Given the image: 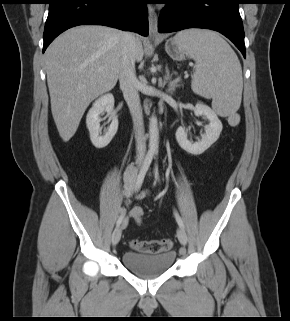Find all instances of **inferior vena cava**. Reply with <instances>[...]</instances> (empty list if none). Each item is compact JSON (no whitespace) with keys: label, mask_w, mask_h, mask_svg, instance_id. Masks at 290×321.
Returning a JSON list of instances; mask_svg holds the SVG:
<instances>
[{"label":"inferior vena cava","mask_w":290,"mask_h":321,"mask_svg":"<svg viewBox=\"0 0 290 321\" xmlns=\"http://www.w3.org/2000/svg\"><path fill=\"white\" fill-rule=\"evenodd\" d=\"M122 60L119 75L120 88L129 107L135 128L137 156L143 158L146 152L142 107L138 93L139 81L135 71L136 38L125 32L121 38Z\"/></svg>","instance_id":"obj_1"}]
</instances>
